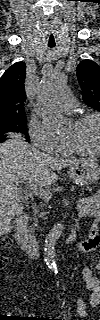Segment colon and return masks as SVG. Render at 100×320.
Segmentation results:
<instances>
[{
    "label": "colon",
    "mask_w": 100,
    "mask_h": 320,
    "mask_svg": "<svg viewBox=\"0 0 100 320\" xmlns=\"http://www.w3.org/2000/svg\"><path fill=\"white\" fill-rule=\"evenodd\" d=\"M99 243H100V235H99L95 230H93L90 238H89V239L86 241V243H85V244H86V247H87L88 249H94V248H96V247L99 245ZM9 244H10V239H9V238H3V239H2V246H3L4 248L8 247ZM5 262H6L5 258H2V259L0 260V264H1V265H4ZM57 320H61V319H57Z\"/></svg>",
    "instance_id": "5ec220e1"
}]
</instances>
